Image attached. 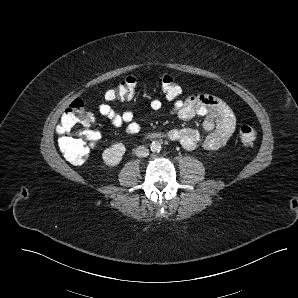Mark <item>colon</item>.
Here are the masks:
<instances>
[{
  "mask_svg": "<svg viewBox=\"0 0 298 298\" xmlns=\"http://www.w3.org/2000/svg\"><path fill=\"white\" fill-rule=\"evenodd\" d=\"M137 86L135 76H127L115 87L107 91L106 96L111 100L125 101L133 97ZM163 95L174 100L181 94L178 82L169 75L160 79ZM94 119L86 110L80 99L74 100L65 110L57 126L59 147L67 159L81 165L88 159L90 147L100 140V135L93 129ZM239 139L243 146L252 147L256 141V132L250 125H243L239 131Z\"/></svg>",
  "mask_w": 298,
  "mask_h": 298,
  "instance_id": "5ec220e1",
  "label": "colon"
}]
</instances>
